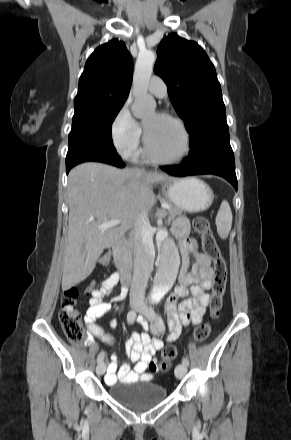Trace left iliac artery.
Instances as JSON below:
<instances>
[{
	"label": "left iliac artery",
	"mask_w": 291,
	"mask_h": 440,
	"mask_svg": "<svg viewBox=\"0 0 291 440\" xmlns=\"http://www.w3.org/2000/svg\"><path fill=\"white\" fill-rule=\"evenodd\" d=\"M159 327H160V328H164V324H163V322H162L161 320L159 321ZM182 364H184V365H186V366L189 365V360H188L187 357H184V358L182 359Z\"/></svg>",
	"instance_id": "44dca946"
}]
</instances>
